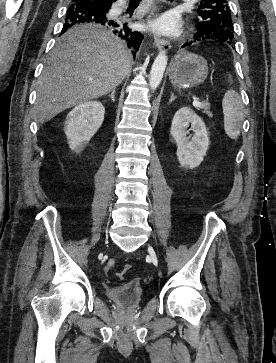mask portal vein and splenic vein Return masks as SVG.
Wrapping results in <instances>:
<instances>
[{
    "label": "portal vein and splenic vein",
    "mask_w": 276,
    "mask_h": 363,
    "mask_svg": "<svg viewBox=\"0 0 276 363\" xmlns=\"http://www.w3.org/2000/svg\"><path fill=\"white\" fill-rule=\"evenodd\" d=\"M193 105H194L195 107H201V106L203 105V103L199 102L197 99H194V101H193Z\"/></svg>",
    "instance_id": "obj_1"
}]
</instances>
